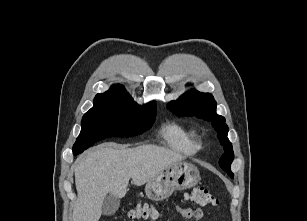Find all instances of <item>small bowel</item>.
I'll return each mask as SVG.
<instances>
[{
	"label": "small bowel",
	"mask_w": 307,
	"mask_h": 221,
	"mask_svg": "<svg viewBox=\"0 0 307 221\" xmlns=\"http://www.w3.org/2000/svg\"><path fill=\"white\" fill-rule=\"evenodd\" d=\"M177 213L187 219H193L194 221H202L204 213L201 209L193 210L191 208L176 206Z\"/></svg>",
	"instance_id": "1"
}]
</instances>
